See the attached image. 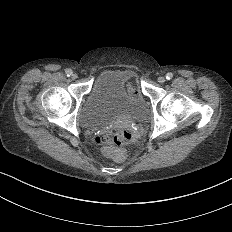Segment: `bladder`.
<instances>
[{
	"instance_id": "bladder-1",
	"label": "bladder",
	"mask_w": 232,
	"mask_h": 232,
	"mask_svg": "<svg viewBox=\"0 0 232 232\" xmlns=\"http://www.w3.org/2000/svg\"><path fill=\"white\" fill-rule=\"evenodd\" d=\"M130 70H106L95 80L79 111V122L87 130H97L122 120L146 121L149 107L141 94L128 86Z\"/></svg>"
}]
</instances>
